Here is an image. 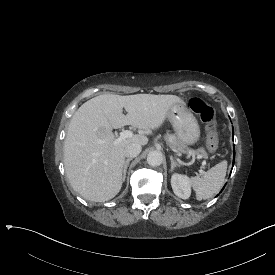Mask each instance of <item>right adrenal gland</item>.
Listing matches in <instances>:
<instances>
[{
	"instance_id": "right-adrenal-gland-1",
	"label": "right adrenal gland",
	"mask_w": 275,
	"mask_h": 275,
	"mask_svg": "<svg viewBox=\"0 0 275 275\" xmlns=\"http://www.w3.org/2000/svg\"><path fill=\"white\" fill-rule=\"evenodd\" d=\"M131 160H132V158H128V159L125 161V164H124V167H123V178H122L123 181H125L127 168H128V166H129V162H130Z\"/></svg>"
}]
</instances>
